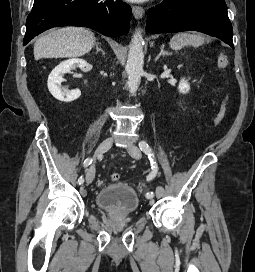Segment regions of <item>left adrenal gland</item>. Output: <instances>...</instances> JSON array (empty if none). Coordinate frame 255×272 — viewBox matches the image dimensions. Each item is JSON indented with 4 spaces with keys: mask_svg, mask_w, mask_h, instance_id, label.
<instances>
[{
    "mask_svg": "<svg viewBox=\"0 0 255 272\" xmlns=\"http://www.w3.org/2000/svg\"><path fill=\"white\" fill-rule=\"evenodd\" d=\"M165 45H161L160 52L158 53L157 57L155 58V62L161 57V56H168L171 55L170 52L164 50Z\"/></svg>",
    "mask_w": 255,
    "mask_h": 272,
    "instance_id": "1",
    "label": "left adrenal gland"
}]
</instances>
